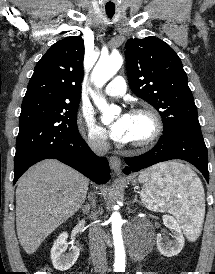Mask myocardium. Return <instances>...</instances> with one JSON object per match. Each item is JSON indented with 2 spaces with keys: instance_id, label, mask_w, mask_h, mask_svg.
Returning a JSON list of instances; mask_svg holds the SVG:
<instances>
[{
  "instance_id": "obj_1",
  "label": "myocardium",
  "mask_w": 215,
  "mask_h": 274,
  "mask_svg": "<svg viewBox=\"0 0 215 274\" xmlns=\"http://www.w3.org/2000/svg\"><path fill=\"white\" fill-rule=\"evenodd\" d=\"M132 115H145L152 124L151 133L139 141L128 142L133 148L144 149L154 144L163 132V122L158 112L149 106L136 107L131 110Z\"/></svg>"
}]
</instances>
